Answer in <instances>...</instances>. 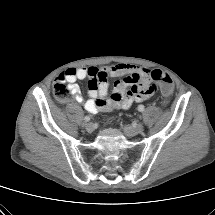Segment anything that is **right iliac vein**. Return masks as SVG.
Returning a JSON list of instances; mask_svg holds the SVG:
<instances>
[{
  "label": "right iliac vein",
  "mask_w": 215,
  "mask_h": 215,
  "mask_svg": "<svg viewBox=\"0 0 215 215\" xmlns=\"http://www.w3.org/2000/svg\"><path fill=\"white\" fill-rule=\"evenodd\" d=\"M85 128H86V130L88 131V132H93L94 131V124L93 123H86L85 124Z\"/></svg>",
  "instance_id": "right-iliac-vein-1"
}]
</instances>
